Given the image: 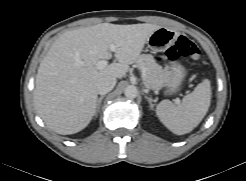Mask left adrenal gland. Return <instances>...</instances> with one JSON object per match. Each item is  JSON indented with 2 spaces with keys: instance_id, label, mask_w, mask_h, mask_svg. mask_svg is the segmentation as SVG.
<instances>
[{
  "instance_id": "a2214340",
  "label": "left adrenal gland",
  "mask_w": 246,
  "mask_h": 181,
  "mask_svg": "<svg viewBox=\"0 0 246 181\" xmlns=\"http://www.w3.org/2000/svg\"><path fill=\"white\" fill-rule=\"evenodd\" d=\"M145 98L147 99V101L150 105V108L153 109L154 105L152 104V100L147 95H145Z\"/></svg>"
}]
</instances>
